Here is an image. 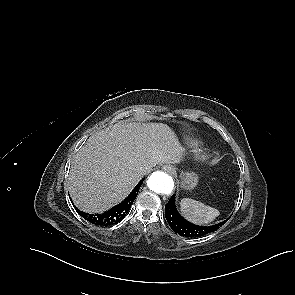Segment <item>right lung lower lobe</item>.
<instances>
[{
    "instance_id": "98d812e1",
    "label": "right lung lower lobe",
    "mask_w": 295,
    "mask_h": 295,
    "mask_svg": "<svg viewBox=\"0 0 295 295\" xmlns=\"http://www.w3.org/2000/svg\"><path fill=\"white\" fill-rule=\"evenodd\" d=\"M143 180H141L137 186L133 189L131 194L119 205L113 207L102 214H88L78 210L75 206V210L81 215L84 219L89 221L92 224L100 225V226H109L114 225L120 222L128 213L132 203L136 199L139 188L142 184Z\"/></svg>"
}]
</instances>
